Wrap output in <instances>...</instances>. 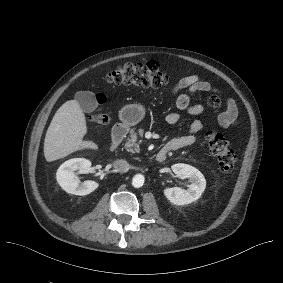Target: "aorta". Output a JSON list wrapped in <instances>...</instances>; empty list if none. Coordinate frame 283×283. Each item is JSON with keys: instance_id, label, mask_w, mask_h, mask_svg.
<instances>
[{"instance_id": "obj_1", "label": "aorta", "mask_w": 283, "mask_h": 283, "mask_svg": "<svg viewBox=\"0 0 283 283\" xmlns=\"http://www.w3.org/2000/svg\"><path fill=\"white\" fill-rule=\"evenodd\" d=\"M144 176L142 174H136L132 179V185L135 188H140L144 184Z\"/></svg>"}]
</instances>
